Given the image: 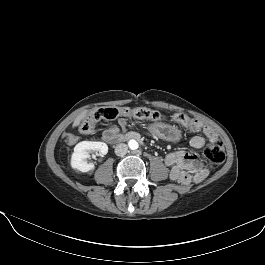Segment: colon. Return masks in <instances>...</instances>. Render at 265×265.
<instances>
[{
	"label": "colon",
	"mask_w": 265,
	"mask_h": 265,
	"mask_svg": "<svg viewBox=\"0 0 265 265\" xmlns=\"http://www.w3.org/2000/svg\"><path fill=\"white\" fill-rule=\"evenodd\" d=\"M121 115L131 116L136 119H146L153 122L170 120L185 127L193 126L194 124L192 119L182 113H176L166 117L160 112L148 108L104 106L95 109L85 117L79 126V131L83 134H92L98 122L114 120ZM203 155L212 168H218L225 160V151L222 142L218 139L211 141L205 147Z\"/></svg>",
	"instance_id": "1"
}]
</instances>
